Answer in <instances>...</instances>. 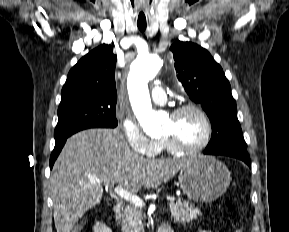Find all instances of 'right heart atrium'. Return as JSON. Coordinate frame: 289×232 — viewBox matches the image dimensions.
Wrapping results in <instances>:
<instances>
[{
    "label": "right heart atrium",
    "mask_w": 289,
    "mask_h": 232,
    "mask_svg": "<svg viewBox=\"0 0 289 232\" xmlns=\"http://www.w3.org/2000/svg\"><path fill=\"white\" fill-rule=\"evenodd\" d=\"M121 128L130 148L137 154L153 157L161 147V141L148 137L130 116L121 120Z\"/></svg>",
    "instance_id": "right-heart-atrium-1"
}]
</instances>
